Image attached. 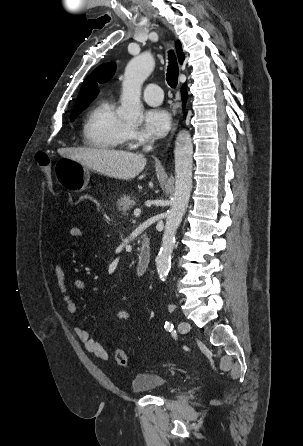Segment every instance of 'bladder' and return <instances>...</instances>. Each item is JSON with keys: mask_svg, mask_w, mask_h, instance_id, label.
Masks as SVG:
<instances>
[{"mask_svg": "<svg viewBox=\"0 0 303 446\" xmlns=\"http://www.w3.org/2000/svg\"><path fill=\"white\" fill-rule=\"evenodd\" d=\"M167 385V379L156 373L137 374L131 382L132 391L137 394L155 392Z\"/></svg>", "mask_w": 303, "mask_h": 446, "instance_id": "31cf9c89", "label": "bladder"}]
</instances>
